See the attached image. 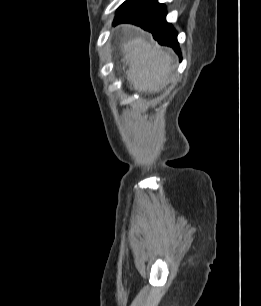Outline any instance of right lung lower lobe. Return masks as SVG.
<instances>
[{
	"mask_svg": "<svg viewBox=\"0 0 261 306\" xmlns=\"http://www.w3.org/2000/svg\"><path fill=\"white\" fill-rule=\"evenodd\" d=\"M166 8L157 0H132L129 4L117 11L114 25L131 23L150 31L155 40L161 45L172 47L180 53L177 41V32L166 22Z\"/></svg>",
	"mask_w": 261,
	"mask_h": 306,
	"instance_id": "obj_1",
	"label": "right lung lower lobe"
}]
</instances>
